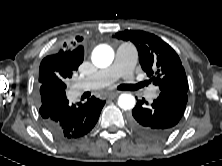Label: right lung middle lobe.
<instances>
[{
    "mask_svg": "<svg viewBox=\"0 0 222 166\" xmlns=\"http://www.w3.org/2000/svg\"><path fill=\"white\" fill-rule=\"evenodd\" d=\"M73 72L74 70H71L70 68L39 70V83H51L66 89L65 81L72 77Z\"/></svg>",
    "mask_w": 222,
    "mask_h": 166,
    "instance_id": "1",
    "label": "right lung middle lobe"
}]
</instances>
